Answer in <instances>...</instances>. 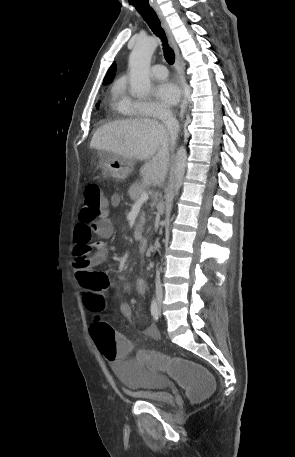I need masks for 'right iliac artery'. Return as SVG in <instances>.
I'll return each instance as SVG.
<instances>
[{
    "instance_id": "1",
    "label": "right iliac artery",
    "mask_w": 295,
    "mask_h": 457,
    "mask_svg": "<svg viewBox=\"0 0 295 457\" xmlns=\"http://www.w3.org/2000/svg\"><path fill=\"white\" fill-rule=\"evenodd\" d=\"M151 314L155 320L159 318V309L156 300H153L151 303Z\"/></svg>"
}]
</instances>
